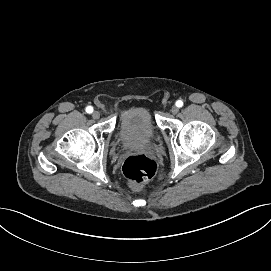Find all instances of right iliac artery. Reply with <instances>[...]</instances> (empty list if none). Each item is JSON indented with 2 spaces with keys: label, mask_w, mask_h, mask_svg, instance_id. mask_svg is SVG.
<instances>
[{
  "label": "right iliac artery",
  "mask_w": 271,
  "mask_h": 271,
  "mask_svg": "<svg viewBox=\"0 0 271 271\" xmlns=\"http://www.w3.org/2000/svg\"><path fill=\"white\" fill-rule=\"evenodd\" d=\"M86 112L87 113H92L93 112V107L92 106L86 107Z\"/></svg>",
  "instance_id": "right-iliac-artery-1"
}]
</instances>
